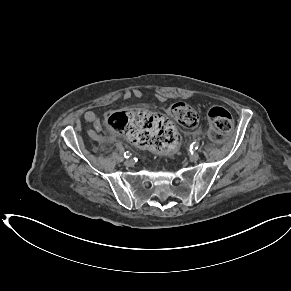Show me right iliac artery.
Returning <instances> with one entry per match:
<instances>
[{"label":"right iliac artery","mask_w":291,"mask_h":291,"mask_svg":"<svg viewBox=\"0 0 291 291\" xmlns=\"http://www.w3.org/2000/svg\"><path fill=\"white\" fill-rule=\"evenodd\" d=\"M131 156V153L129 151L125 152L124 153V157L125 158H129Z\"/></svg>","instance_id":"right-iliac-artery-1"}]
</instances>
